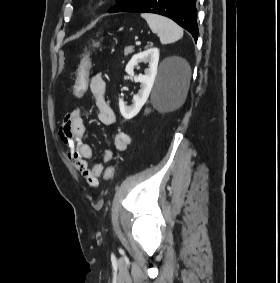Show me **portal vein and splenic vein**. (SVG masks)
<instances>
[{"label": "portal vein and splenic vein", "instance_id": "portal-vein-and-splenic-vein-1", "mask_svg": "<svg viewBox=\"0 0 280 283\" xmlns=\"http://www.w3.org/2000/svg\"><path fill=\"white\" fill-rule=\"evenodd\" d=\"M135 44H136V45H140V44H141V42H140V41H137Z\"/></svg>", "mask_w": 280, "mask_h": 283}]
</instances>
